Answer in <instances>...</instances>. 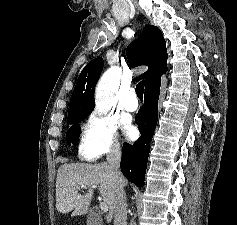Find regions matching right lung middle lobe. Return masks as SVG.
Here are the masks:
<instances>
[{
  "mask_svg": "<svg viewBox=\"0 0 237 225\" xmlns=\"http://www.w3.org/2000/svg\"><path fill=\"white\" fill-rule=\"evenodd\" d=\"M89 113L84 111H71L68 112V124L72 126L66 132V140L69 145L76 144L80 133L79 123L88 117Z\"/></svg>",
  "mask_w": 237,
  "mask_h": 225,
  "instance_id": "right-lung-middle-lobe-1",
  "label": "right lung middle lobe"
}]
</instances>
